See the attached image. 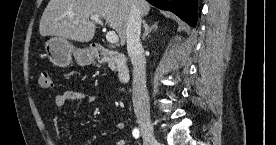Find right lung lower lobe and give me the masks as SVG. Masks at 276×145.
Returning <instances> with one entry per match:
<instances>
[{
  "instance_id": "98d812e1",
  "label": "right lung lower lobe",
  "mask_w": 276,
  "mask_h": 145,
  "mask_svg": "<svg viewBox=\"0 0 276 145\" xmlns=\"http://www.w3.org/2000/svg\"><path fill=\"white\" fill-rule=\"evenodd\" d=\"M152 5L175 13L178 17L194 27L197 20V0H147Z\"/></svg>"
}]
</instances>
